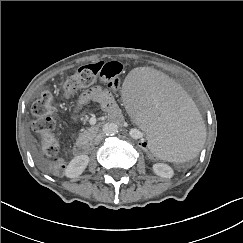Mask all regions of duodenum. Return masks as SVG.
Here are the masks:
<instances>
[{
  "instance_id": "1",
  "label": "duodenum",
  "mask_w": 243,
  "mask_h": 243,
  "mask_svg": "<svg viewBox=\"0 0 243 243\" xmlns=\"http://www.w3.org/2000/svg\"><path fill=\"white\" fill-rule=\"evenodd\" d=\"M115 118L120 122L123 121V117L120 115H116ZM88 151H89V146L85 142H78L74 145V152L77 155H85L88 153Z\"/></svg>"
}]
</instances>
